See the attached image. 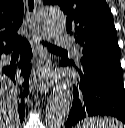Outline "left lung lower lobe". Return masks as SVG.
Returning <instances> with one entry per match:
<instances>
[{
    "label": "left lung lower lobe",
    "instance_id": "obj_1",
    "mask_svg": "<svg viewBox=\"0 0 125 128\" xmlns=\"http://www.w3.org/2000/svg\"><path fill=\"white\" fill-rule=\"evenodd\" d=\"M62 66L70 63L63 59ZM73 86V103L65 128L88 116L111 115L125 123V89L120 67H103L89 71L78 70Z\"/></svg>",
    "mask_w": 125,
    "mask_h": 128
}]
</instances>
